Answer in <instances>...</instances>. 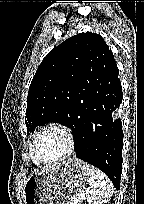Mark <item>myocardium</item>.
Listing matches in <instances>:
<instances>
[{
    "label": "myocardium",
    "mask_w": 144,
    "mask_h": 204,
    "mask_svg": "<svg viewBox=\"0 0 144 204\" xmlns=\"http://www.w3.org/2000/svg\"><path fill=\"white\" fill-rule=\"evenodd\" d=\"M49 130L60 131L66 137L67 150L61 157H59L55 160L42 161L36 155V150H35L36 143H37V140L40 137V135L46 131H49ZM76 145H77V138H76V135H75V132L73 131V129L70 126H68L67 124L60 123V122H53V123L47 124L44 127H42L34 136L33 141L31 143V156H32L33 160L39 165H46V166L56 165V164H59L61 162H64L69 157H71L73 155V153L75 152Z\"/></svg>",
    "instance_id": "f54148a6"
}]
</instances>
